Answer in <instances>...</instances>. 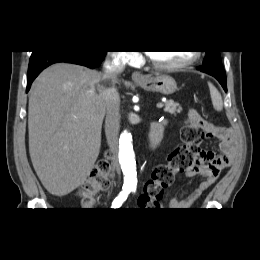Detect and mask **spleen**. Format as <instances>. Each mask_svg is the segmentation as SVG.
I'll return each instance as SVG.
<instances>
[{"instance_id": "3e777b00", "label": "spleen", "mask_w": 260, "mask_h": 260, "mask_svg": "<svg viewBox=\"0 0 260 260\" xmlns=\"http://www.w3.org/2000/svg\"><path fill=\"white\" fill-rule=\"evenodd\" d=\"M210 96L212 100L213 107L216 111H222L223 109V100L219 91L214 87L212 83H208Z\"/></svg>"}]
</instances>
